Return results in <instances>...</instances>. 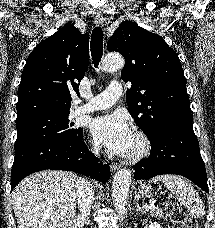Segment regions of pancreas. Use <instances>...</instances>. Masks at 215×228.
I'll return each mask as SVG.
<instances>
[{"instance_id":"1","label":"pancreas","mask_w":215,"mask_h":228,"mask_svg":"<svg viewBox=\"0 0 215 228\" xmlns=\"http://www.w3.org/2000/svg\"><path fill=\"white\" fill-rule=\"evenodd\" d=\"M148 214H150L152 218H163L164 216L162 208H151V210H148Z\"/></svg>"}]
</instances>
